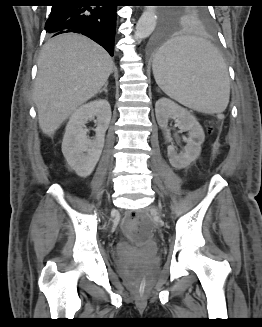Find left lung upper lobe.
Listing matches in <instances>:
<instances>
[{
	"instance_id": "5c2ea615",
	"label": "left lung upper lobe",
	"mask_w": 262,
	"mask_h": 327,
	"mask_svg": "<svg viewBox=\"0 0 262 327\" xmlns=\"http://www.w3.org/2000/svg\"><path fill=\"white\" fill-rule=\"evenodd\" d=\"M180 3H203V0H177ZM211 14L205 6H188L184 9H166L162 13L161 27L170 29L181 23L210 26Z\"/></svg>"
}]
</instances>
